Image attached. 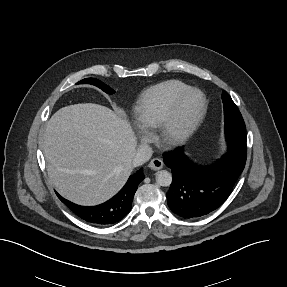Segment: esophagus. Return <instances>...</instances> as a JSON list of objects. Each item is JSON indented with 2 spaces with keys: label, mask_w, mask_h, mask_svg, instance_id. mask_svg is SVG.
<instances>
[{
  "label": "esophagus",
  "mask_w": 287,
  "mask_h": 287,
  "mask_svg": "<svg viewBox=\"0 0 287 287\" xmlns=\"http://www.w3.org/2000/svg\"><path fill=\"white\" fill-rule=\"evenodd\" d=\"M148 166L152 170H160L163 167V161L160 158H154L149 162Z\"/></svg>",
  "instance_id": "1"
}]
</instances>
